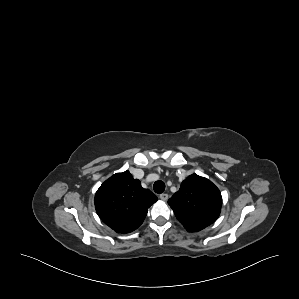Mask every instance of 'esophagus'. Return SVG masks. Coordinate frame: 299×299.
<instances>
[{
    "instance_id": "1",
    "label": "esophagus",
    "mask_w": 299,
    "mask_h": 299,
    "mask_svg": "<svg viewBox=\"0 0 299 299\" xmlns=\"http://www.w3.org/2000/svg\"><path fill=\"white\" fill-rule=\"evenodd\" d=\"M159 198L163 201H166L168 199V194L162 193V194H160Z\"/></svg>"
}]
</instances>
